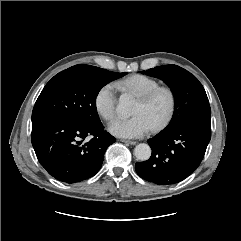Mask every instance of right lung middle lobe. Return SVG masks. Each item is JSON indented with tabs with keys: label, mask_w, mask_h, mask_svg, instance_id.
<instances>
[{
	"label": "right lung middle lobe",
	"mask_w": 241,
	"mask_h": 241,
	"mask_svg": "<svg viewBox=\"0 0 241 241\" xmlns=\"http://www.w3.org/2000/svg\"><path fill=\"white\" fill-rule=\"evenodd\" d=\"M95 66H73L55 75L39 95L32 123L63 119L86 125H98L96 97L103 86L126 75Z\"/></svg>",
	"instance_id": "dd1d6c3e"
}]
</instances>
